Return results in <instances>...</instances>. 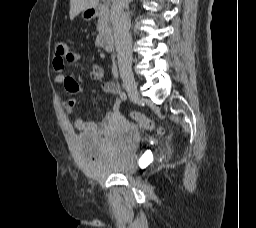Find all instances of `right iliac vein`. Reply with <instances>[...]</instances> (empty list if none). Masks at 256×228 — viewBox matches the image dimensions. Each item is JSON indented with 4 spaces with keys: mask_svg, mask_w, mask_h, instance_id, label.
I'll list each match as a JSON object with an SVG mask.
<instances>
[{
    "mask_svg": "<svg viewBox=\"0 0 256 228\" xmlns=\"http://www.w3.org/2000/svg\"><path fill=\"white\" fill-rule=\"evenodd\" d=\"M123 83L128 94L134 98H139V92L137 89V83L135 78L131 74L123 76Z\"/></svg>",
    "mask_w": 256,
    "mask_h": 228,
    "instance_id": "obj_1",
    "label": "right iliac vein"
}]
</instances>
